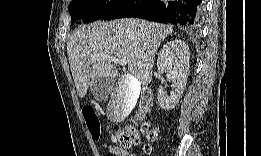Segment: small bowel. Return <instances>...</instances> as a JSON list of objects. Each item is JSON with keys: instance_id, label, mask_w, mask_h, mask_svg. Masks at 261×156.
<instances>
[{"instance_id": "c3829d8e", "label": "small bowel", "mask_w": 261, "mask_h": 156, "mask_svg": "<svg viewBox=\"0 0 261 156\" xmlns=\"http://www.w3.org/2000/svg\"><path fill=\"white\" fill-rule=\"evenodd\" d=\"M104 148L107 149V156H127L130 155V150L121 147L116 143H105Z\"/></svg>"}]
</instances>
